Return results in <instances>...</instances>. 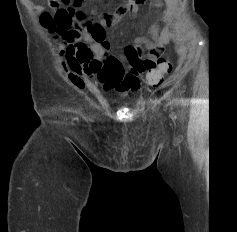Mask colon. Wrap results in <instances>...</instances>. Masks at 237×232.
<instances>
[{"instance_id": "obj_1", "label": "colon", "mask_w": 237, "mask_h": 232, "mask_svg": "<svg viewBox=\"0 0 237 232\" xmlns=\"http://www.w3.org/2000/svg\"><path fill=\"white\" fill-rule=\"evenodd\" d=\"M84 0H49L53 12H44L40 16L41 23L52 31L60 34L64 40H70L81 34L98 32L102 29L100 23L87 20L82 12L76 10ZM145 0H130L128 5L120 9L125 13ZM172 64L169 58H161L154 69L148 71L146 81L151 86H159L164 81V75L171 72Z\"/></svg>"}]
</instances>
